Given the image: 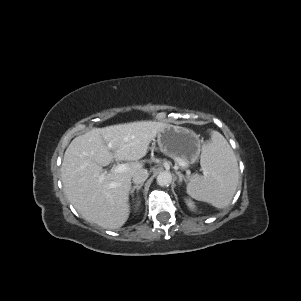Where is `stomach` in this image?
I'll use <instances>...</instances> for the list:
<instances>
[{
  "mask_svg": "<svg viewBox=\"0 0 301 301\" xmlns=\"http://www.w3.org/2000/svg\"><path fill=\"white\" fill-rule=\"evenodd\" d=\"M160 150L167 156L182 159L187 164L197 161L201 151L199 135L182 126L166 125L157 134Z\"/></svg>",
  "mask_w": 301,
  "mask_h": 301,
  "instance_id": "stomach-1",
  "label": "stomach"
}]
</instances>
